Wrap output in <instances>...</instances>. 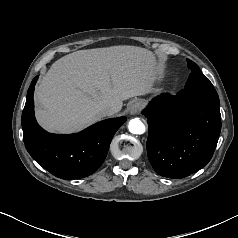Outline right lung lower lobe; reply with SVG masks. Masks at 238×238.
<instances>
[{"mask_svg":"<svg viewBox=\"0 0 238 238\" xmlns=\"http://www.w3.org/2000/svg\"><path fill=\"white\" fill-rule=\"evenodd\" d=\"M34 78L22 113L23 140L31 157L61 179H78L94 173L104 162L110 142L126 117L107 119L71 135L51 134L34 117Z\"/></svg>","mask_w":238,"mask_h":238,"instance_id":"1","label":"right lung lower lobe"}]
</instances>
